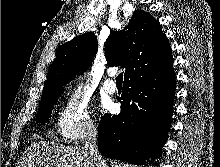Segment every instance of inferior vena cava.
<instances>
[{
    "label": "inferior vena cava",
    "mask_w": 220,
    "mask_h": 167,
    "mask_svg": "<svg viewBox=\"0 0 220 167\" xmlns=\"http://www.w3.org/2000/svg\"><path fill=\"white\" fill-rule=\"evenodd\" d=\"M85 150L89 153L96 167H108L97 149V129L89 125L85 131Z\"/></svg>",
    "instance_id": "inferior-vena-cava-1"
}]
</instances>
